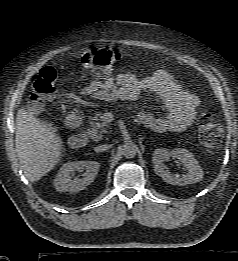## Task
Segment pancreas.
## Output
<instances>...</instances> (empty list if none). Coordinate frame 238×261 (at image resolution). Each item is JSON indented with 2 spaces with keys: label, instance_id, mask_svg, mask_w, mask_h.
<instances>
[{
  "label": "pancreas",
  "instance_id": "cf45deb5",
  "mask_svg": "<svg viewBox=\"0 0 238 261\" xmlns=\"http://www.w3.org/2000/svg\"><path fill=\"white\" fill-rule=\"evenodd\" d=\"M108 123L103 120V114L100 112L95 113L91 118L90 126L87 129L88 135L91 139L98 141L103 138V134L107 133Z\"/></svg>",
  "mask_w": 238,
  "mask_h": 261
}]
</instances>
